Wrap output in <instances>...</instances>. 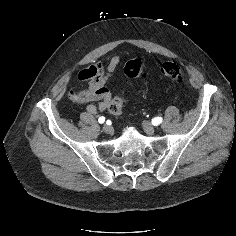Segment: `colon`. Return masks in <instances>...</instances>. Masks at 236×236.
<instances>
[{
    "label": "colon",
    "instance_id": "obj_1",
    "mask_svg": "<svg viewBox=\"0 0 236 236\" xmlns=\"http://www.w3.org/2000/svg\"><path fill=\"white\" fill-rule=\"evenodd\" d=\"M162 74L175 83L183 81L182 69L173 62H165L161 66ZM124 73L129 78H139L144 74V66L138 59L130 60L124 67ZM71 98L76 103H83L84 98L78 93H72ZM122 110V100L119 97L113 98L108 105V112L112 116H118Z\"/></svg>",
    "mask_w": 236,
    "mask_h": 236
}]
</instances>
